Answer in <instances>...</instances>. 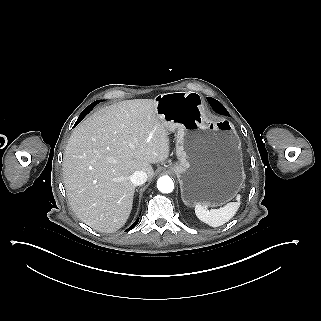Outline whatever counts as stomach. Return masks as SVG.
<instances>
[{
  "mask_svg": "<svg viewBox=\"0 0 321 321\" xmlns=\"http://www.w3.org/2000/svg\"><path fill=\"white\" fill-rule=\"evenodd\" d=\"M155 113L167 132L176 133L178 162L172 167L185 205L220 206L240 190L244 180L241 140L225 118L207 120L197 92L157 95Z\"/></svg>",
  "mask_w": 321,
  "mask_h": 321,
  "instance_id": "0dacf381",
  "label": "stomach"
}]
</instances>
